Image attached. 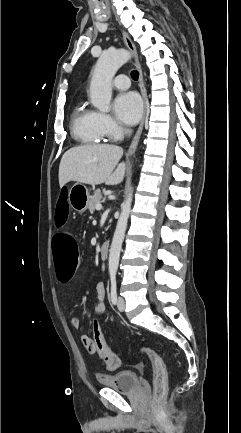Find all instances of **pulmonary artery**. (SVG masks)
<instances>
[{
	"mask_svg": "<svg viewBox=\"0 0 241 433\" xmlns=\"http://www.w3.org/2000/svg\"><path fill=\"white\" fill-rule=\"evenodd\" d=\"M113 85L118 90H125V89L129 88L130 80H129L128 76L121 74V75H118L114 79Z\"/></svg>",
	"mask_w": 241,
	"mask_h": 433,
	"instance_id": "pulmonary-artery-1",
	"label": "pulmonary artery"
}]
</instances>
